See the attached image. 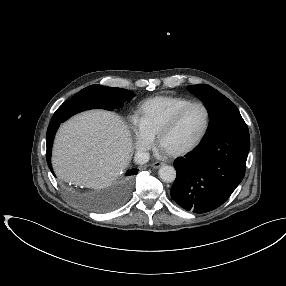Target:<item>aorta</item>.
<instances>
[{
	"mask_svg": "<svg viewBox=\"0 0 286 286\" xmlns=\"http://www.w3.org/2000/svg\"><path fill=\"white\" fill-rule=\"evenodd\" d=\"M159 177L166 183H171L176 178V170L172 166H162L159 169Z\"/></svg>",
	"mask_w": 286,
	"mask_h": 286,
	"instance_id": "1",
	"label": "aorta"
}]
</instances>
